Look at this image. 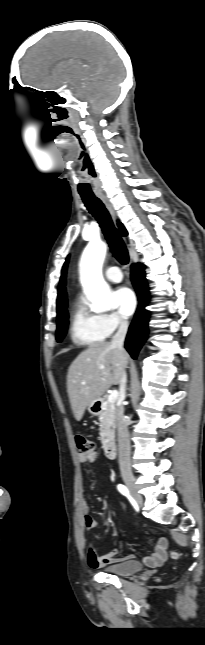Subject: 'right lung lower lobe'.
<instances>
[{"label": "right lung lower lobe", "instance_id": "right-lung-lower-lobe-1", "mask_svg": "<svg viewBox=\"0 0 205 645\" xmlns=\"http://www.w3.org/2000/svg\"><path fill=\"white\" fill-rule=\"evenodd\" d=\"M131 280L138 295L140 305L134 320L129 327L125 348L132 358L135 359L148 335L149 319L145 306L149 301V290L146 283L144 266L142 264L138 263L131 266Z\"/></svg>", "mask_w": 205, "mask_h": 645}]
</instances>
